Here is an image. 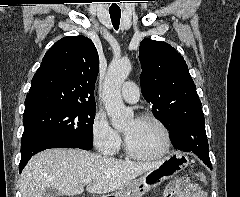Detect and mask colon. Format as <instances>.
<instances>
[{
	"mask_svg": "<svg viewBox=\"0 0 240 197\" xmlns=\"http://www.w3.org/2000/svg\"><path fill=\"white\" fill-rule=\"evenodd\" d=\"M197 178L199 181H201L203 183H205L207 181V178H206L205 174H203V173H198Z\"/></svg>",
	"mask_w": 240,
	"mask_h": 197,
	"instance_id": "1",
	"label": "colon"
}]
</instances>
